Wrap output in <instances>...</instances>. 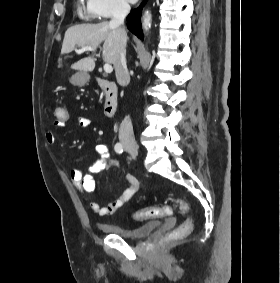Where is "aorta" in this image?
Masks as SVG:
<instances>
[{
	"instance_id": "aorta-1",
	"label": "aorta",
	"mask_w": 280,
	"mask_h": 283,
	"mask_svg": "<svg viewBox=\"0 0 280 283\" xmlns=\"http://www.w3.org/2000/svg\"><path fill=\"white\" fill-rule=\"evenodd\" d=\"M151 22H152V16L150 11H145L144 15H143V29L145 32H148L149 29L151 28Z\"/></svg>"
}]
</instances>
